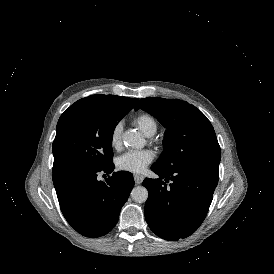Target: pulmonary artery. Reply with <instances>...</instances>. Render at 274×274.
Listing matches in <instances>:
<instances>
[{
	"label": "pulmonary artery",
	"mask_w": 274,
	"mask_h": 274,
	"mask_svg": "<svg viewBox=\"0 0 274 274\" xmlns=\"http://www.w3.org/2000/svg\"><path fill=\"white\" fill-rule=\"evenodd\" d=\"M155 132H156V130H153V131L149 132L148 134H146V136H147L148 138H151V137L154 136Z\"/></svg>",
	"instance_id": "e3ab8cb5"
}]
</instances>
